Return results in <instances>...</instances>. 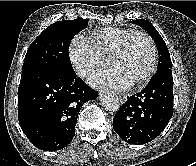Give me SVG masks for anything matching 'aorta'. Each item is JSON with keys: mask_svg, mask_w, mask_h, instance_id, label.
<instances>
[{"mask_svg": "<svg viewBox=\"0 0 196 166\" xmlns=\"http://www.w3.org/2000/svg\"><path fill=\"white\" fill-rule=\"evenodd\" d=\"M101 102L104 107L111 112L118 111L120 107L118 97L111 91H107L101 95Z\"/></svg>", "mask_w": 196, "mask_h": 166, "instance_id": "762f6f07", "label": "aorta"}]
</instances>
